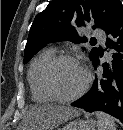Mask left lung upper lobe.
Returning <instances> with one entry per match:
<instances>
[{"label":"left lung upper lobe","mask_w":123,"mask_h":130,"mask_svg":"<svg viewBox=\"0 0 123 130\" xmlns=\"http://www.w3.org/2000/svg\"><path fill=\"white\" fill-rule=\"evenodd\" d=\"M122 8L119 0H52L33 21L24 51V63L49 42H86V38L79 37L76 26L93 22V29L109 30ZM97 54V48H93L89 54L90 59L93 60Z\"/></svg>","instance_id":"left-lung-upper-lobe-1"}]
</instances>
